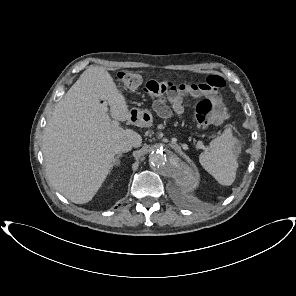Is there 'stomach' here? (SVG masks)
Wrapping results in <instances>:
<instances>
[{
    "label": "stomach",
    "mask_w": 296,
    "mask_h": 296,
    "mask_svg": "<svg viewBox=\"0 0 296 296\" xmlns=\"http://www.w3.org/2000/svg\"><path fill=\"white\" fill-rule=\"evenodd\" d=\"M135 121L143 126H150L153 122L152 114L146 110H136Z\"/></svg>",
    "instance_id": "stomach-1"
}]
</instances>
